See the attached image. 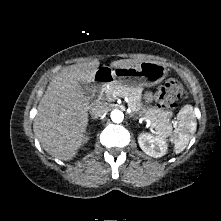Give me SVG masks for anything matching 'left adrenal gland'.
Here are the masks:
<instances>
[{
	"label": "left adrenal gland",
	"instance_id": "obj_1",
	"mask_svg": "<svg viewBox=\"0 0 221 221\" xmlns=\"http://www.w3.org/2000/svg\"><path fill=\"white\" fill-rule=\"evenodd\" d=\"M133 116V114H130V117H132Z\"/></svg>",
	"mask_w": 221,
	"mask_h": 221
}]
</instances>
